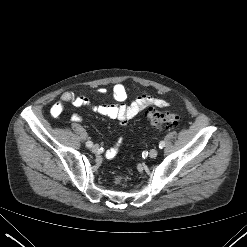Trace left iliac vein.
<instances>
[{"mask_svg":"<svg viewBox=\"0 0 247 247\" xmlns=\"http://www.w3.org/2000/svg\"><path fill=\"white\" fill-rule=\"evenodd\" d=\"M158 154V151L156 149H151L150 152H149V156L151 158H155Z\"/></svg>","mask_w":247,"mask_h":247,"instance_id":"left-iliac-vein-1","label":"left iliac vein"}]
</instances>
